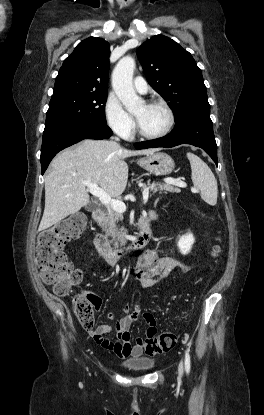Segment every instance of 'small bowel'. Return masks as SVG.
<instances>
[{"label":"small bowel","instance_id":"small-bowel-1","mask_svg":"<svg viewBox=\"0 0 264 415\" xmlns=\"http://www.w3.org/2000/svg\"><path fill=\"white\" fill-rule=\"evenodd\" d=\"M149 221L159 219V214L155 210H149L146 215ZM177 262L174 258L168 256H158L153 251L146 252L139 263L135 267L136 276L142 287L148 288L160 284L163 280L171 276L176 270ZM101 302L98 300L97 308L99 309ZM122 309L127 315L121 319H118L114 326L108 324H99L92 335L96 341V344L102 348L111 350L120 356L126 358H140L143 353L145 344L141 340H137L135 343L130 342L129 330L132 322L140 316L144 307L141 303H137L130 307L127 303L122 304ZM108 319H113L111 313L107 314ZM145 320L147 321V331L157 332V325L155 319L145 314ZM114 330L117 334V340H109L105 338L107 333Z\"/></svg>","mask_w":264,"mask_h":415}]
</instances>
